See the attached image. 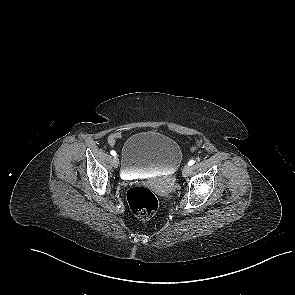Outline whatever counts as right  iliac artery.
<instances>
[{"label":"right iliac artery","mask_w":295,"mask_h":295,"mask_svg":"<svg viewBox=\"0 0 295 295\" xmlns=\"http://www.w3.org/2000/svg\"><path fill=\"white\" fill-rule=\"evenodd\" d=\"M110 153L112 156H116V152L114 150H112Z\"/></svg>","instance_id":"1"}]
</instances>
